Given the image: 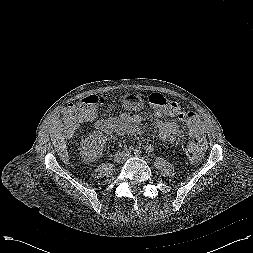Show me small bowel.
Masks as SVG:
<instances>
[{"label":"small bowel","mask_w":253,"mask_h":253,"mask_svg":"<svg viewBox=\"0 0 253 253\" xmlns=\"http://www.w3.org/2000/svg\"><path fill=\"white\" fill-rule=\"evenodd\" d=\"M119 121L121 124L128 126V129L131 133H139V120L137 117L131 116L127 113H123L121 114ZM156 126L163 141H170L172 143H176L182 136V132L180 131L178 125L175 122L160 120L156 122ZM147 149L152 150L153 147L150 145L147 147Z\"/></svg>","instance_id":"c3829d8e"}]
</instances>
